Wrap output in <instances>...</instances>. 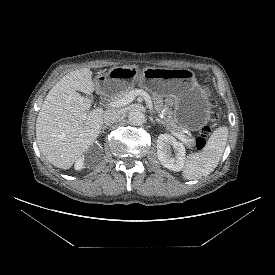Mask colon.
<instances>
[{"label":"colon","instance_id":"obj_1","mask_svg":"<svg viewBox=\"0 0 275 275\" xmlns=\"http://www.w3.org/2000/svg\"><path fill=\"white\" fill-rule=\"evenodd\" d=\"M205 93L209 95V90L205 89ZM216 119H217V112L215 111V103L212 102L211 109L209 112L208 123L202 127L199 136L196 138L197 150H202L205 147L206 137L212 131V124L216 121Z\"/></svg>","mask_w":275,"mask_h":275}]
</instances>
